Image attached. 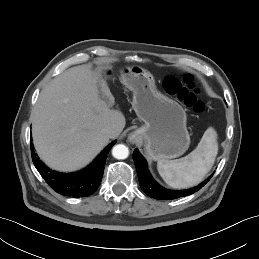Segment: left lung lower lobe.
I'll use <instances>...</instances> for the list:
<instances>
[{"label": "left lung lower lobe", "mask_w": 259, "mask_h": 259, "mask_svg": "<svg viewBox=\"0 0 259 259\" xmlns=\"http://www.w3.org/2000/svg\"><path fill=\"white\" fill-rule=\"evenodd\" d=\"M133 159L136 165L137 174L141 189L148 196L158 200H172L183 196L191 195L200 190L212 177V175L200 185L191 189L173 191L161 187L150 175L146 160L137 149L134 150Z\"/></svg>", "instance_id": "1"}]
</instances>
